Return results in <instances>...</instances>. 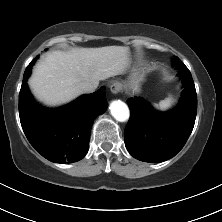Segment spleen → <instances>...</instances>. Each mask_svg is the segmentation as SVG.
<instances>
[{
  "mask_svg": "<svg viewBox=\"0 0 222 222\" xmlns=\"http://www.w3.org/2000/svg\"><path fill=\"white\" fill-rule=\"evenodd\" d=\"M173 103V98L172 97H168L162 101H160L158 104H154V107L159 109V110H167L172 106Z\"/></svg>",
  "mask_w": 222,
  "mask_h": 222,
  "instance_id": "1",
  "label": "spleen"
}]
</instances>
